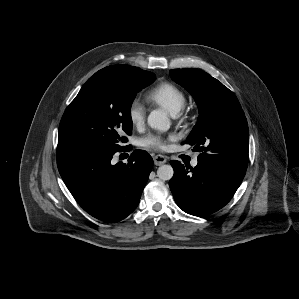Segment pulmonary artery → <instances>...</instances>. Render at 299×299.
<instances>
[{"mask_svg": "<svg viewBox=\"0 0 299 299\" xmlns=\"http://www.w3.org/2000/svg\"><path fill=\"white\" fill-rule=\"evenodd\" d=\"M197 164H198V161H197V159H194L193 161H192V166H197Z\"/></svg>", "mask_w": 299, "mask_h": 299, "instance_id": "e3ab8cb5", "label": "pulmonary artery"}]
</instances>
